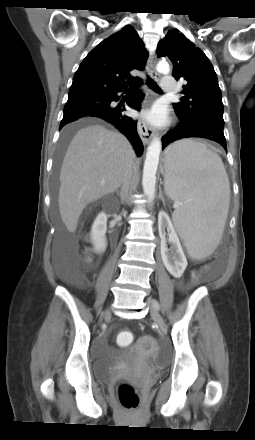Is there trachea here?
Segmentation results:
<instances>
[{
    "mask_svg": "<svg viewBox=\"0 0 255 440\" xmlns=\"http://www.w3.org/2000/svg\"><path fill=\"white\" fill-rule=\"evenodd\" d=\"M147 85L150 89L156 91V92H161V89L159 88V86L157 85V83L155 81H153L152 79H148L147 81ZM138 89V85H133L129 87V90H136Z\"/></svg>",
    "mask_w": 255,
    "mask_h": 440,
    "instance_id": "trachea-1",
    "label": "trachea"
}]
</instances>
